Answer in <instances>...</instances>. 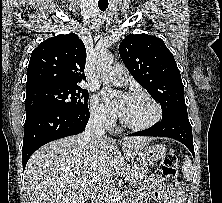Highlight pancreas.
I'll return each instance as SVG.
<instances>
[{
  "instance_id": "pancreas-1",
  "label": "pancreas",
  "mask_w": 222,
  "mask_h": 203,
  "mask_svg": "<svg viewBox=\"0 0 222 203\" xmlns=\"http://www.w3.org/2000/svg\"><path fill=\"white\" fill-rule=\"evenodd\" d=\"M126 176L129 177L130 183H138L142 181L148 174L149 170L140 167L137 164H131L125 168ZM113 193H111L112 196ZM107 198L110 196L106 194Z\"/></svg>"
}]
</instances>
